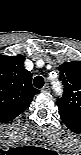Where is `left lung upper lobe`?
Wrapping results in <instances>:
<instances>
[{
  "label": "left lung upper lobe",
  "instance_id": "obj_1",
  "mask_svg": "<svg viewBox=\"0 0 81 155\" xmlns=\"http://www.w3.org/2000/svg\"><path fill=\"white\" fill-rule=\"evenodd\" d=\"M64 92L58 99L59 114L81 121V63L65 62L59 66Z\"/></svg>",
  "mask_w": 81,
  "mask_h": 155
}]
</instances>
